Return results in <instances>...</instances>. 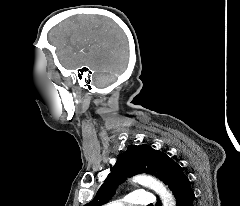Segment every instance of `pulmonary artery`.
Wrapping results in <instances>:
<instances>
[{"mask_svg": "<svg viewBox=\"0 0 240 206\" xmlns=\"http://www.w3.org/2000/svg\"><path fill=\"white\" fill-rule=\"evenodd\" d=\"M155 202V196L152 193L144 190H136L131 192L125 198V202L113 201L105 206H132V205H144L148 206Z\"/></svg>", "mask_w": 240, "mask_h": 206, "instance_id": "pulmonary-artery-1", "label": "pulmonary artery"}]
</instances>
